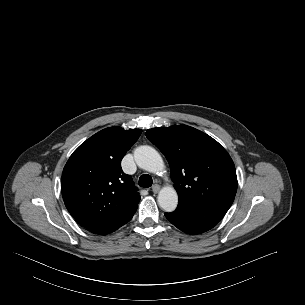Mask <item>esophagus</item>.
<instances>
[{
  "label": "esophagus",
  "mask_w": 305,
  "mask_h": 305,
  "mask_svg": "<svg viewBox=\"0 0 305 305\" xmlns=\"http://www.w3.org/2000/svg\"><path fill=\"white\" fill-rule=\"evenodd\" d=\"M159 190H160V186L158 184H155V185L152 186V192L153 193L156 194V193L159 192Z\"/></svg>",
  "instance_id": "obj_1"
}]
</instances>
